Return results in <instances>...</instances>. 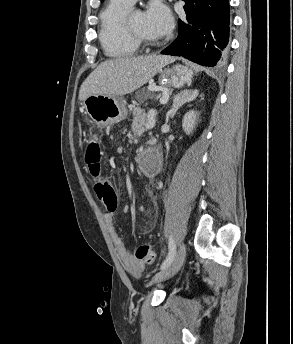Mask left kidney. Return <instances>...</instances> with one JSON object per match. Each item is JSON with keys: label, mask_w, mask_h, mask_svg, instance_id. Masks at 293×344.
<instances>
[{"label": "left kidney", "mask_w": 293, "mask_h": 344, "mask_svg": "<svg viewBox=\"0 0 293 344\" xmlns=\"http://www.w3.org/2000/svg\"><path fill=\"white\" fill-rule=\"evenodd\" d=\"M198 113L194 110H191L187 112L182 121V127L186 134H191L196 126V120H197Z\"/></svg>", "instance_id": "1"}]
</instances>
